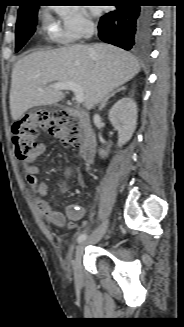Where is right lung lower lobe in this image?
Returning <instances> with one entry per match:
<instances>
[{"label": "right lung lower lobe", "instance_id": "right-lung-lower-lobe-1", "mask_svg": "<svg viewBox=\"0 0 184 327\" xmlns=\"http://www.w3.org/2000/svg\"><path fill=\"white\" fill-rule=\"evenodd\" d=\"M101 17L98 25L99 38L125 50L145 48L151 36L152 11L142 8L134 0Z\"/></svg>", "mask_w": 184, "mask_h": 327}]
</instances>
